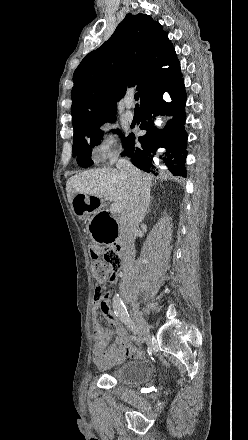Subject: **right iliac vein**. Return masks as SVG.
Listing matches in <instances>:
<instances>
[{"label": "right iliac vein", "instance_id": "obj_1", "mask_svg": "<svg viewBox=\"0 0 248 440\" xmlns=\"http://www.w3.org/2000/svg\"><path fill=\"white\" fill-rule=\"evenodd\" d=\"M133 317L136 322L139 341L144 342L149 336V327L147 322L143 319L137 309L133 307Z\"/></svg>", "mask_w": 248, "mask_h": 440}]
</instances>
